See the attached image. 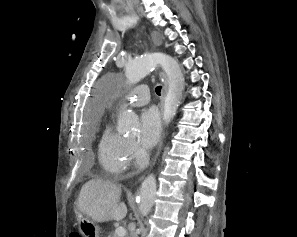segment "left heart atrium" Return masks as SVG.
<instances>
[{"label":"left heart atrium","instance_id":"1","mask_svg":"<svg viewBox=\"0 0 297 237\" xmlns=\"http://www.w3.org/2000/svg\"><path fill=\"white\" fill-rule=\"evenodd\" d=\"M139 143L145 148L155 146L161 135L162 120L157 108L149 107L142 111L140 116Z\"/></svg>","mask_w":297,"mask_h":237}]
</instances>
